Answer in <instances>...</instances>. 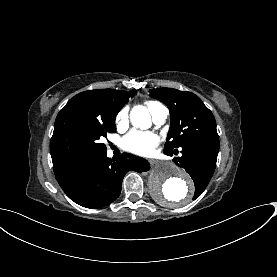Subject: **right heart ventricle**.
Instances as JSON below:
<instances>
[{"label": "right heart ventricle", "mask_w": 277, "mask_h": 277, "mask_svg": "<svg viewBox=\"0 0 277 277\" xmlns=\"http://www.w3.org/2000/svg\"><path fill=\"white\" fill-rule=\"evenodd\" d=\"M155 103L156 102H146V107L150 113H151V109ZM137 107H140V106H135V108H137Z\"/></svg>", "instance_id": "obj_1"}]
</instances>
